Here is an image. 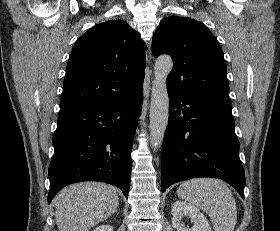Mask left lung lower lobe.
<instances>
[{
	"label": "left lung lower lobe",
	"mask_w": 280,
	"mask_h": 231,
	"mask_svg": "<svg viewBox=\"0 0 280 231\" xmlns=\"http://www.w3.org/2000/svg\"><path fill=\"white\" fill-rule=\"evenodd\" d=\"M169 121L162 147L161 190L197 177L219 178L244 199L231 104L168 88Z\"/></svg>",
	"instance_id": "0a47b994"
}]
</instances>
